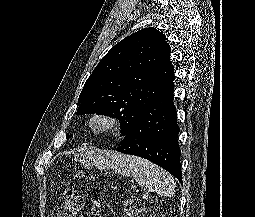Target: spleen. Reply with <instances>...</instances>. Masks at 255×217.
Returning <instances> with one entry per match:
<instances>
[{
    "label": "spleen",
    "mask_w": 255,
    "mask_h": 217,
    "mask_svg": "<svg viewBox=\"0 0 255 217\" xmlns=\"http://www.w3.org/2000/svg\"><path fill=\"white\" fill-rule=\"evenodd\" d=\"M110 168L122 175L131 174L136 182L148 190L165 197L175 194L174 178L159 166L136 156L114 154Z\"/></svg>",
    "instance_id": "3e777b00"
}]
</instances>
